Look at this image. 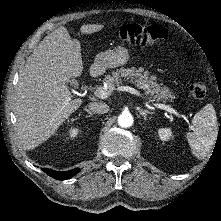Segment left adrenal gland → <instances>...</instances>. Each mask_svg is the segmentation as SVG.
<instances>
[{
    "label": "left adrenal gland",
    "mask_w": 221,
    "mask_h": 221,
    "mask_svg": "<svg viewBox=\"0 0 221 221\" xmlns=\"http://www.w3.org/2000/svg\"><path fill=\"white\" fill-rule=\"evenodd\" d=\"M139 113L144 117L145 120H147V115L153 114L154 112L143 110V109H139Z\"/></svg>",
    "instance_id": "a2214340"
}]
</instances>
